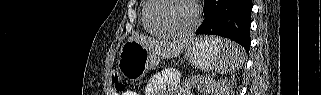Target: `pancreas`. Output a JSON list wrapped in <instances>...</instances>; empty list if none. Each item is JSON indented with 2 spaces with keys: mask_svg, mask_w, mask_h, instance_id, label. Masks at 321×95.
Listing matches in <instances>:
<instances>
[{
  "mask_svg": "<svg viewBox=\"0 0 321 95\" xmlns=\"http://www.w3.org/2000/svg\"><path fill=\"white\" fill-rule=\"evenodd\" d=\"M183 87L188 89L195 87L203 94L209 95L212 93L214 95L220 84L209 76H192L190 79L185 80Z\"/></svg>",
  "mask_w": 321,
  "mask_h": 95,
  "instance_id": "1",
  "label": "pancreas"
}]
</instances>
